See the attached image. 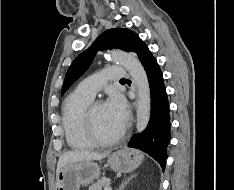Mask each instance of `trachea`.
Returning <instances> with one entry per match:
<instances>
[{"label":"trachea","instance_id":"trachea-1","mask_svg":"<svg viewBox=\"0 0 234 190\" xmlns=\"http://www.w3.org/2000/svg\"><path fill=\"white\" fill-rule=\"evenodd\" d=\"M122 80H126V79H125V78H123V79H121V81H122Z\"/></svg>","mask_w":234,"mask_h":190}]
</instances>
